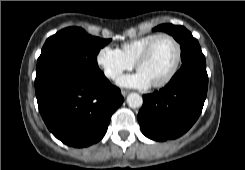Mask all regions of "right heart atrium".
I'll use <instances>...</instances> for the list:
<instances>
[{"instance_id":"right-heart-atrium-1","label":"right heart atrium","mask_w":245,"mask_h":170,"mask_svg":"<svg viewBox=\"0 0 245 170\" xmlns=\"http://www.w3.org/2000/svg\"><path fill=\"white\" fill-rule=\"evenodd\" d=\"M96 61L106 77L117 78L122 72L130 70L133 63L118 48L104 46L97 54Z\"/></svg>"}]
</instances>
